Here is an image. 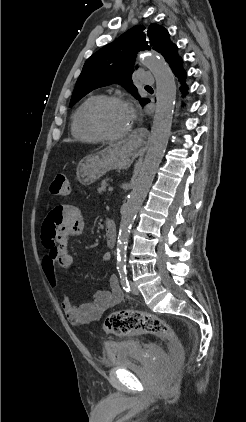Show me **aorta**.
Here are the masks:
<instances>
[{
	"label": "aorta",
	"instance_id": "obj_1",
	"mask_svg": "<svg viewBox=\"0 0 246 422\" xmlns=\"http://www.w3.org/2000/svg\"><path fill=\"white\" fill-rule=\"evenodd\" d=\"M142 62L150 69L156 80V110L149 148L134 180L133 189L120 221L117 241V266L120 268L125 266L132 224L149 191L168 144L176 99L174 76L165 60L155 53H149L142 57Z\"/></svg>",
	"mask_w": 246,
	"mask_h": 422
}]
</instances>
